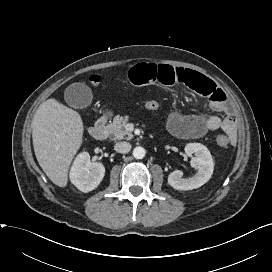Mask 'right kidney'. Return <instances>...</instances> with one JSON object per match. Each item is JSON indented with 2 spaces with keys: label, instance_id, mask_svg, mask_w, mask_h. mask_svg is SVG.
I'll return each instance as SVG.
<instances>
[{
  "label": "right kidney",
  "instance_id": "1",
  "mask_svg": "<svg viewBox=\"0 0 272 272\" xmlns=\"http://www.w3.org/2000/svg\"><path fill=\"white\" fill-rule=\"evenodd\" d=\"M105 167L102 163L91 162L87 152L80 153L70 171V180L80 191L89 192L102 181Z\"/></svg>",
  "mask_w": 272,
  "mask_h": 272
}]
</instances>
